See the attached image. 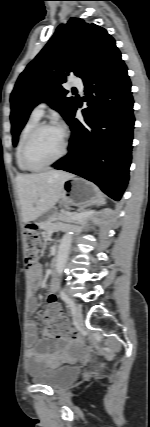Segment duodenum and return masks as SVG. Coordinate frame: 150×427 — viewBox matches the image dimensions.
I'll return each instance as SVG.
<instances>
[{"mask_svg": "<svg viewBox=\"0 0 150 427\" xmlns=\"http://www.w3.org/2000/svg\"><path fill=\"white\" fill-rule=\"evenodd\" d=\"M57 266V258H54L52 262V267L55 268Z\"/></svg>", "mask_w": 150, "mask_h": 427, "instance_id": "duodenum-1", "label": "duodenum"}]
</instances>
